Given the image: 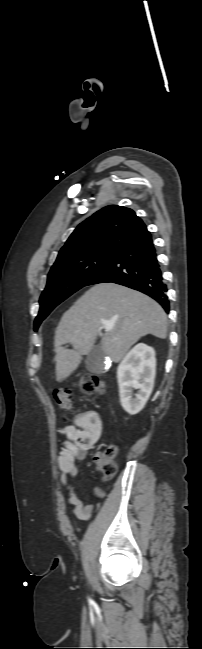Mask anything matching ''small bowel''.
I'll return each instance as SVG.
<instances>
[{"label":"small bowel","instance_id":"1","mask_svg":"<svg viewBox=\"0 0 202 649\" xmlns=\"http://www.w3.org/2000/svg\"><path fill=\"white\" fill-rule=\"evenodd\" d=\"M62 434L65 441L58 456L60 481L67 488L68 502L74 507V515L80 520L87 521L99 509L105 492L99 487H94V500L86 505L76 493L70 480L78 475V463L86 458L88 452L100 440L103 434V421L98 413L84 411L77 414L72 423L62 428ZM72 524L76 530H79L73 519Z\"/></svg>","mask_w":202,"mask_h":649}]
</instances>
